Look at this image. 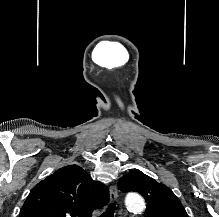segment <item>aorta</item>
<instances>
[{
  "label": "aorta",
  "mask_w": 219,
  "mask_h": 217,
  "mask_svg": "<svg viewBox=\"0 0 219 217\" xmlns=\"http://www.w3.org/2000/svg\"><path fill=\"white\" fill-rule=\"evenodd\" d=\"M126 205L130 211L141 212L145 208L144 199L140 195H130L126 198Z\"/></svg>",
  "instance_id": "1"
}]
</instances>
